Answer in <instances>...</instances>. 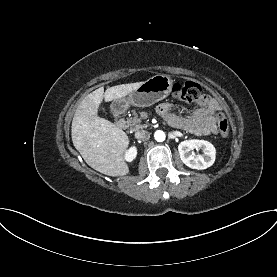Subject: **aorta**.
<instances>
[{
    "instance_id": "aorta-1",
    "label": "aorta",
    "mask_w": 277,
    "mask_h": 277,
    "mask_svg": "<svg viewBox=\"0 0 277 277\" xmlns=\"http://www.w3.org/2000/svg\"><path fill=\"white\" fill-rule=\"evenodd\" d=\"M155 140L158 142H163L165 140V133L161 130H158L154 134Z\"/></svg>"
}]
</instances>
